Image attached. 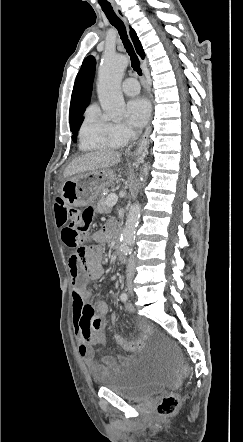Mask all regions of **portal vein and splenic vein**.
Masks as SVG:
<instances>
[{
	"label": "portal vein and splenic vein",
	"mask_w": 243,
	"mask_h": 442,
	"mask_svg": "<svg viewBox=\"0 0 243 442\" xmlns=\"http://www.w3.org/2000/svg\"><path fill=\"white\" fill-rule=\"evenodd\" d=\"M117 200H118V196L115 194H111L107 199V205L109 207H113L117 203Z\"/></svg>",
	"instance_id": "obj_1"
}]
</instances>
